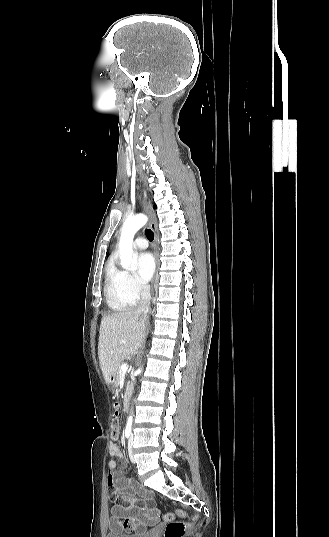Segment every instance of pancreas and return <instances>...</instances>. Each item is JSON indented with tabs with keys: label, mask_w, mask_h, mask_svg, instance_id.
Returning <instances> with one entry per match:
<instances>
[{
	"label": "pancreas",
	"mask_w": 329,
	"mask_h": 537,
	"mask_svg": "<svg viewBox=\"0 0 329 537\" xmlns=\"http://www.w3.org/2000/svg\"><path fill=\"white\" fill-rule=\"evenodd\" d=\"M115 377H116L115 384H116V386H119L120 380H121V368L120 367L117 369ZM128 388H131V386L128 385ZM126 396H127V393H126Z\"/></svg>",
	"instance_id": "1"
}]
</instances>
